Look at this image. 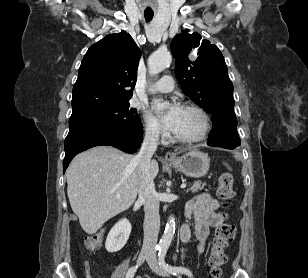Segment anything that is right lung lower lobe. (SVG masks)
I'll list each match as a JSON object with an SVG mask.
<instances>
[{
    "label": "right lung lower lobe",
    "instance_id": "right-lung-lower-lobe-1",
    "mask_svg": "<svg viewBox=\"0 0 308 278\" xmlns=\"http://www.w3.org/2000/svg\"><path fill=\"white\" fill-rule=\"evenodd\" d=\"M142 142V130H124L116 128H81L70 130L65 143L63 172L73 157L91 147L109 145L127 153H134Z\"/></svg>",
    "mask_w": 308,
    "mask_h": 278
}]
</instances>
